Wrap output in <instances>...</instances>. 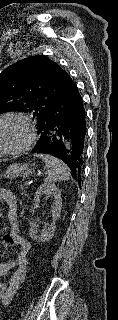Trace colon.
Here are the masks:
<instances>
[{"label":"colon","mask_w":118,"mask_h":320,"mask_svg":"<svg viewBox=\"0 0 118 320\" xmlns=\"http://www.w3.org/2000/svg\"><path fill=\"white\" fill-rule=\"evenodd\" d=\"M5 241H7L10 244H20L21 243L20 239L14 233L7 235L5 237Z\"/></svg>","instance_id":"1"}]
</instances>
